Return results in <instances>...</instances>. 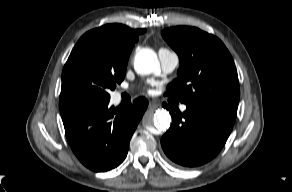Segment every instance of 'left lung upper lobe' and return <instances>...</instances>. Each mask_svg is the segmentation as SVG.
Returning a JSON list of instances; mask_svg holds the SVG:
<instances>
[{
    "label": "left lung upper lobe",
    "mask_w": 292,
    "mask_h": 192,
    "mask_svg": "<svg viewBox=\"0 0 292 192\" xmlns=\"http://www.w3.org/2000/svg\"><path fill=\"white\" fill-rule=\"evenodd\" d=\"M163 38L180 59L178 78L166 95L187 106L230 109L237 112L240 89L234 61L217 37L195 27L164 29Z\"/></svg>",
    "instance_id": "1"
}]
</instances>
